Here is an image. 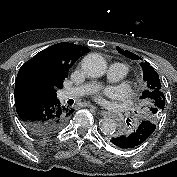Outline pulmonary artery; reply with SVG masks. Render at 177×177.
<instances>
[{"label":"pulmonary artery","mask_w":177,"mask_h":177,"mask_svg":"<svg viewBox=\"0 0 177 177\" xmlns=\"http://www.w3.org/2000/svg\"><path fill=\"white\" fill-rule=\"evenodd\" d=\"M128 74V68L122 63H112L107 71L106 79L109 82H118ZM98 83H88L76 87L64 89L61 92V99H71L81 97L91 93L98 88Z\"/></svg>","instance_id":"obj_1"}]
</instances>
